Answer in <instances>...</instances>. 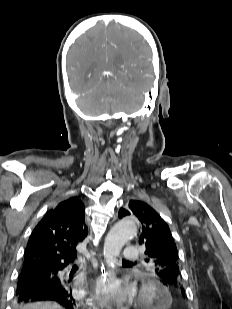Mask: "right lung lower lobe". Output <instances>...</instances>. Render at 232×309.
<instances>
[{"label": "right lung lower lobe", "instance_id": "right-lung-lower-lobe-1", "mask_svg": "<svg viewBox=\"0 0 232 309\" xmlns=\"http://www.w3.org/2000/svg\"><path fill=\"white\" fill-rule=\"evenodd\" d=\"M66 266L38 269L39 265L36 263H24L20 274L28 275L29 279L18 278L15 292L16 303L23 305L29 302L50 300L58 302L66 309H74L72 280L61 274Z\"/></svg>", "mask_w": 232, "mask_h": 309}]
</instances>
